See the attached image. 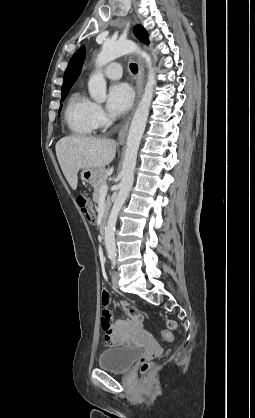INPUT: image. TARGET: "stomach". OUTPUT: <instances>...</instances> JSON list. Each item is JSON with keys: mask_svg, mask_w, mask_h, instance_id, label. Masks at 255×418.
<instances>
[{"mask_svg": "<svg viewBox=\"0 0 255 418\" xmlns=\"http://www.w3.org/2000/svg\"><path fill=\"white\" fill-rule=\"evenodd\" d=\"M103 170L99 168H84L81 171V179L83 182L93 185Z\"/></svg>", "mask_w": 255, "mask_h": 418, "instance_id": "obj_1", "label": "stomach"}]
</instances>
